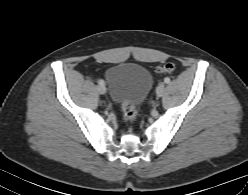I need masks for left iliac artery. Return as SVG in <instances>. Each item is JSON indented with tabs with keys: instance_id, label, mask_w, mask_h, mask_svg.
I'll list each match as a JSON object with an SVG mask.
<instances>
[{
	"instance_id": "44dca946",
	"label": "left iliac artery",
	"mask_w": 248,
	"mask_h": 195,
	"mask_svg": "<svg viewBox=\"0 0 248 195\" xmlns=\"http://www.w3.org/2000/svg\"><path fill=\"white\" fill-rule=\"evenodd\" d=\"M164 82L167 83V84L170 83V78L166 77V78L164 79Z\"/></svg>"
}]
</instances>
